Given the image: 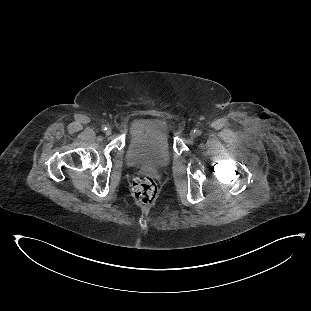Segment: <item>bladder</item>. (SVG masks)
<instances>
[{"mask_svg": "<svg viewBox=\"0 0 311 311\" xmlns=\"http://www.w3.org/2000/svg\"><path fill=\"white\" fill-rule=\"evenodd\" d=\"M172 144L167 127L146 125L136 131L124 147V162L136 170L159 172L172 159Z\"/></svg>", "mask_w": 311, "mask_h": 311, "instance_id": "obj_1", "label": "bladder"}]
</instances>
